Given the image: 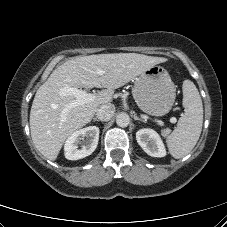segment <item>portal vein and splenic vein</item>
Returning a JSON list of instances; mask_svg holds the SVG:
<instances>
[{"label":"portal vein and splenic vein","instance_id":"18ae733b","mask_svg":"<svg viewBox=\"0 0 227 227\" xmlns=\"http://www.w3.org/2000/svg\"><path fill=\"white\" fill-rule=\"evenodd\" d=\"M97 73L99 75H103L104 71L98 70ZM60 95H63V96L71 95V96L75 97V99L66 106V109L92 102L95 99L94 94L87 93L85 90H80V89L74 88V87L62 88L60 90ZM169 121L171 123H176L177 119L175 117H171ZM159 123L163 124L162 121H159Z\"/></svg>","mask_w":227,"mask_h":227}]
</instances>
